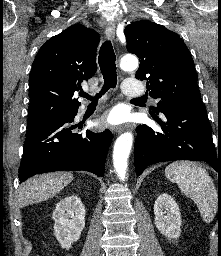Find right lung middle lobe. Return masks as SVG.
I'll list each match as a JSON object with an SVG mask.
<instances>
[{"instance_id":"right-lung-middle-lobe-1","label":"right lung middle lobe","mask_w":221,"mask_h":256,"mask_svg":"<svg viewBox=\"0 0 221 256\" xmlns=\"http://www.w3.org/2000/svg\"><path fill=\"white\" fill-rule=\"evenodd\" d=\"M64 115H67V114H58V115L55 113L35 114L31 117H28L27 128L29 129V128L35 127L38 124L46 122L50 119L62 117Z\"/></svg>"}]
</instances>
